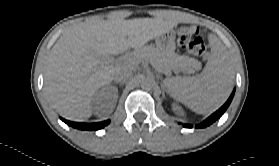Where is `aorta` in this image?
Segmentation results:
<instances>
[{
  "label": "aorta",
  "mask_w": 279,
  "mask_h": 166,
  "mask_svg": "<svg viewBox=\"0 0 279 166\" xmlns=\"http://www.w3.org/2000/svg\"><path fill=\"white\" fill-rule=\"evenodd\" d=\"M141 86L144 89H151L154 86V80L151 78H145L142 80Z\"/></svg>",
  "instance_id": "1"
}]
</instances>
